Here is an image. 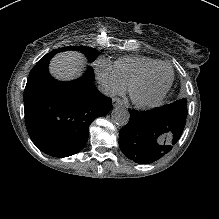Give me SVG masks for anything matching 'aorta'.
Returning <instances> with one entry per match:
<instances>
[{
	"label": "aorta",
	"instance_id": "1",
	"mask_svg": "<svg viewBox=\"0 0 219 219\" xmlns=\"http://www.w3.org/2000/svg\"><path fill=\"white\" fill-rule=\"evenodd\" d=\"M111 120L119 126H124L130 120V113L124 106H116L111 111Z\"/></svg>",
	"mask_w": 219,
	"mask_h": 219
}]
</instances>
